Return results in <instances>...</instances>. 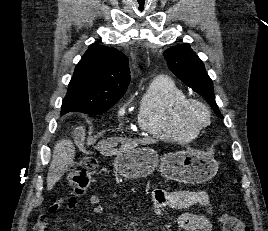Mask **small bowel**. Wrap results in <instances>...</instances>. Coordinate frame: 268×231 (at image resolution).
I'll return each mask as SVG.
<instances>
[{
    "label": "small bowel",
    "instance_id": "1",
    "mask_svg": "<svg viewBox=\"0 0 268 231\" xmlns=\"http://www.w3.org/2000/svg\"><path fill=\"white\" fill-rule=\"evenodd\" d=\"M110 196L115 199L121 198L116 191H111ZM88 203L95 214L104 212V206L97 194H91ZM194 205L201 206L205 211L203 213L187 212L179 216L176 221L178 231H214L211 201L206 191H165L157 189L153 193L152 210L157 216L162 215L167 209H186ZM57 209L56 205H52L48 211L55 212ZM48 221L47 215H39L32 231H46Z\"/></svg>",
    "mask_w": 268,
    "mask_h": 231
}]
</instances>
